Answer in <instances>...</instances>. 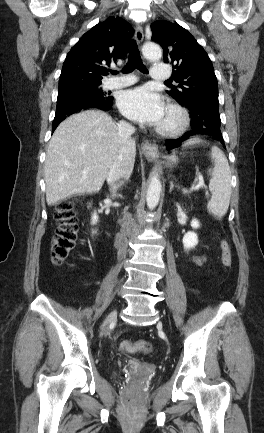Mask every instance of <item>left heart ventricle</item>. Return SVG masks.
I'll return each instance as SVG.
<instances>
[{
    "mask_svg": "<svg viewBox=\"0 0 264 433\" xmlns=\"http://www.w3.org/2000/svg\"><path fill=\"white\" fill-rule=\"evenodd\" d=\"M173 121H174L173 115H171L170 113L166 112L165 116H164V118H163V120L161 121L160 124H162V125H168V124H171Z\"/></svg>",
    "mask_w": 264,
    "mask_h": 433,
    "instance_id": "obj_1",
    "label": "left heart ventricle"
}]
</instances>
